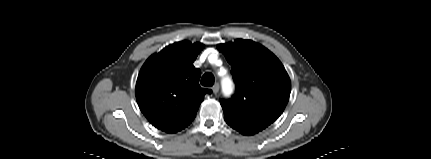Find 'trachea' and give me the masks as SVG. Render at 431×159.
<instances>
[{"mask_svg": "<svg viewBox=\"0 0 431 159\" xmlns=\"http://www.w3.org/2000/svg\"><path fill=\"white\" fill-rule=\"evenodd\" d=\"M215 78L212 73H205L201 78V85L211 87L214 84Z\"/></svg>", "mask_w": 431, "mask_h": 159, "instance_id": "1", "label": "trachea"}]
</instances>
